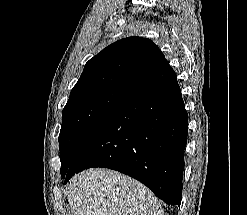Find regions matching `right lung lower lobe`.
I'll list each match as a JSON object with an SVG mask.
<instances>
[{
    "instance_id": "1",
    "label": "right lung lower lobe",
    "mask_w": 247,
    "mask_h": 215,
    "mask_svg": "<svg viewBox=\"0 0 247 215\" xmlns=\"http://www.w3.org/2000/svg\"><path fill=\"white\" fill-rule=\"evenodd\" d=\"M188 119L177 76L167 61L74 147L65 183L103 167L129 175L167 204H181Z\"/></svg>"
}]
</instances>
